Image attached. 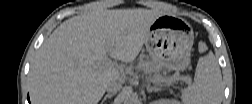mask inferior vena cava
<instances>
[{
	"mask_svg": "<svg viewBox=\"0 0 252 104\" xmlns=\"http://www.w3.org/2000/svg\"><path fill=\"white\" fill-rule=\"evenodd\" d=\"M121 88H122V83L119 82L118 80H112L108 82L106 85V91L110 93H114V94L120 91Z\"/></svg>",
	"mask_w": 252,
	"mask_h": 104,
	"instance_id": "1",
	"label": "inferior vena cava"
}]
</instances>
